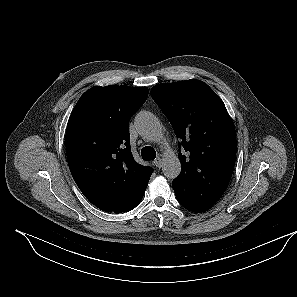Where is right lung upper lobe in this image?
I'll use <instances>...</instances> for the list:
<instances>
[{"label": "right lung upper lobe", "instance_id": "right-lung-upper-lobe-1", "mask_svg": "<svg viewBox=\"0 0 297 297\" xmlns=\"http://www.w3.org/2000/svg\"><path fill=\"white\" fill-rule=\"evenodd\" d=\"M147 96V87L95 86L80 97L69 118L71 174L84 196L105 212L127 211L152 174V168L135 162L129 141V120Z\"/></svg>", "mask_w": 297, "mask_h": 297}]
</instances>
